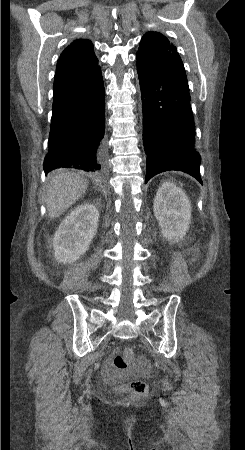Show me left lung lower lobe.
Segmentation results:
<instances>
[{"label":"left lung lower lobe","instance_id":"0a47b994","mask_svg":"<svg viewBox=\"0 0 245 450\" xmlns=\"http://www.w3.org/2000/svg\"><path fill=\"white\" fill-rule=\"evenodd\" d=\"M137 72L147 153L145 183L161 172L178 170L202 184L189 88L164 67L151 68L137 63Z\"/></svg>","mask_w":245,"mask_h":450}]
</instances>
